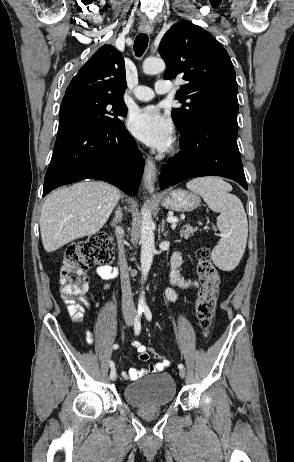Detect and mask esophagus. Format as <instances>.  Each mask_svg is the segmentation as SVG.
<instances>
[{
	"mask_svg": "<svg viewBox=\"0 0 294 462\" xmlns=\"http://www.w3.org/2000/svg\"><path fill=\"white\" fill-rule=\"evenodd\" d=\"M152 31H153V26L151 23H148V22L143 23L139 27V32L141 33L151 34ZM156 174H157V171H156L155 163L150 157H148L146 159L145 167H144L143 184L149 192L154 191V183L156 181Z\"/></svg>",
	"mask_w": 294,
	"mask_h": 462,
	"instance_id": "obj_1",
	"label": "esophagus"
}]
</instances>
